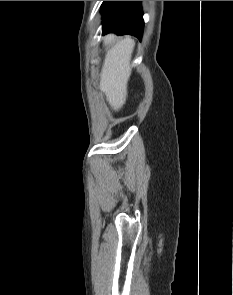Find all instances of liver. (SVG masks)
Instances as JSON below:
<instances>
[{"label":"liver","instance_id":"6515ba94","mask_svg":"<svg viewBox=\"0 0 233 295\" xmlns=\"http://www.w3.org/2000/svg\"><path fill=\"white\" fill-rule=\"evenodd\" d=\"M115 38L113 34L105 36L104 44H111ZM134 46L135 42L131 37L117 40L107 51L104 59L99 87L115 111L122 108L126 102L127 85L132 71L130 60Z\"/></svg>","mask_w":233,"mask_h":295}]
</instances>
